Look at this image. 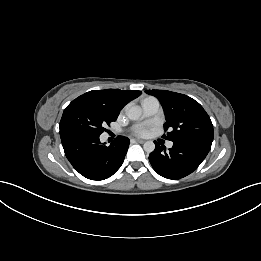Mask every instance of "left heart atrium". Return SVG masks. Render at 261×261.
<instances>
[{
  "mask_svg": "<svg viewBox=\"0 0 261 261\" xmlns=\"http://www.w3.org/2000/svg\"><path fill=\"white\" fill-rule=\"evenodd\" d=\"M136 134L138 135H144L147 132V129L145 127H139L136 129Z\"/></svg>",
  "mask_w": 261,
  "mask_h": 261,
  "instance_id": "left-heart-atrium-1",
  "label": "left heart atrium"
}]
</instances>
